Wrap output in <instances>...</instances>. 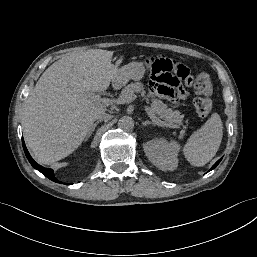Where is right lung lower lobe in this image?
Returning a JSON list of instances; mask_svg holds the SVG:
<instances>
[{"mask_svg":"<svg viewBox=\"0 0 257 257\" xmlns=\"http://www.w3.org/2000/svg\"><path fill=\"white\" fill-rule=\"evenodd\" d=\"M22 144H23V149H24V152H25V155L27 157V159L29 160V162L31 163V165L37 169L38 171H40L44 176H46L47 178H49L50 180L54 181V182H57V183H62L60 181H58L55 176H54V173H53V170L52 169H48V168H44L42 167L41 165L37 164L33 158L30 156L26 146H25V143H24V140L22 139ZM66 184V183H65ZM68 185V184H66Z\"/></svg>","mask_w":257,"mask_h":257,"instance_id":"1","label":"right lung lower lobe"}]
</instances>
